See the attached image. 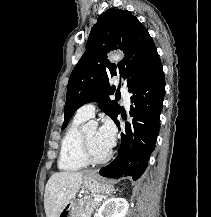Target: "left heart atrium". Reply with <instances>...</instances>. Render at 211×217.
<instances>
[{"instance_id":"obj_1","label":"left heart atrium","mask_w":211,"mask_h":217,"mask_svg":"<svg viewBox=\"0 0 211 217\" xmlns=\"http://www.w3.org/2000/svg\"><path fill=\"white\" fill-rule=\"evenodd\" d=\"M97 134L100 142L108 149H111L115 142L114 125L110 121H105L98 129Z\"/></svg>"}]
</instances>
